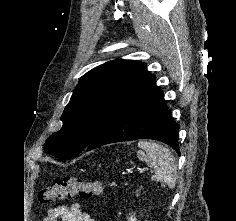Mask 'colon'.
Segmentation results:
<instances>
[{"instance_id":"colon-1","label":"colon","mask_w":236,"mask_h":221,"mask_svg":"<svg viewBox=\"0 0 236 221\" xmlns=\"http://www.w3.org/2000/svg\"><path fill=\"white\" fill-rule=\"evenodd\" d=\"M102 189L103 186L99 182H86L77 177L65 176L44 185L38 194V200L42 205H46L74 196L89 199L100 195Z\"/></svg>"}]
</instances>
